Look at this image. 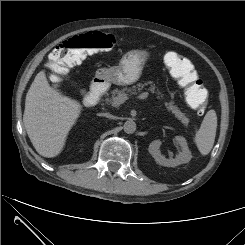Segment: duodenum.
<instances>
[{
	"mask_svg": "<svg viewBox=\"0 0 245 245\" xmlns=\"http://www.w3.org/2000/svg\"><path fill=\"white\" fill-rule=\"evenodd\" d=\"M104 93L101 82L96 81L91 85L90 91L85 95L83 103L85 106H94L98 103Z\"/></svg>",
	"mask_w": 245,
	"mask_h": 245,
	"instance_id": "duodenum-1",
	"label": "duodenum"
}]
</instances>
